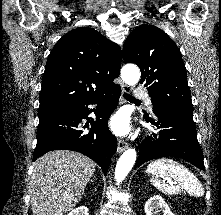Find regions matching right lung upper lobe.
Masks as SVG:
<instances>
[{
    "label": "right lung upper lobe",
    "instance_id": "right-lung-upper-lobe-1",
    "mask_svg": "<svg viewBox=\"0 0 221 215\" xmlns=\"http://www.w3.org/2000/svg\"><path fill=\"white\" fill-rule=\"evenodd\" d=\"M121 48L91 28L66 33L53 47L45 67L38 115L67 110L116 84Z\"/></svg>",
    "mask_w": 221,
    "mask_h": 215
}]
</instances>
